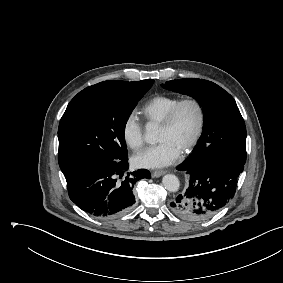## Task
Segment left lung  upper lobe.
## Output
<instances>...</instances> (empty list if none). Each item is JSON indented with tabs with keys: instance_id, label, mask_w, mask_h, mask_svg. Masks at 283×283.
<instances>
[{
	"instance_id": "obj_1",
	"label": "left lung upper lobe",
	"mask_w": 283,
	"mask_h": 283,
	"mask_svg": "<svg viewBox=\"0 0 283 283\" xmlns=\"http://www.w3.org/2000/svg\"><path fill=\"white\" fill-rule=\"evenodd\" d=\"M162 87L195 98L204 110V126L192 154L194 167L214 160L246 162V127L233 97L217 84L196 78L167 81Z\"/></svg>"
}]
</instances>
